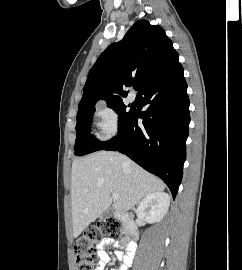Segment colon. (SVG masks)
Returning a JSON list of instances; mask_svg holds the SVG:
<instances>
[{
	"label": "colon",
	"mask_w": 242,
	"mask_h": 270,
	"mask_svg": "<svg viewBox=\"0 0 242 270\" xmlns=\"http://www.w3.org/2000/svg\"><path fill=\"white\" fill-rule=\"evenodd\" d=\"M123 233V225L114 218H108L87 229L74 243L75 265L77 270H94L96 263L95 247L104 239L118 238Z\"/></svg>",
	"instance_id": "colon-1"
}]
</instances>
